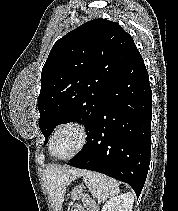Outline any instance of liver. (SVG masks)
<instances>
[{
	"label": "liver",
	"mask_w": 178,
	"mask_h": 211,
	"mask_svg": "<svg viewBox=\"0 0 178 211\" xmlns=\"http://www.w3.org/2000/svg\"><path fill=\"white\" fill-rule=\"evenodd\" d=\"M84 173V170L55 165L44 170L43 177L54 211L61 210L67 186Z\"/></svg>",
	"instance_id": "1"
}]
</instances>
